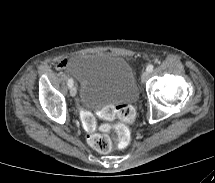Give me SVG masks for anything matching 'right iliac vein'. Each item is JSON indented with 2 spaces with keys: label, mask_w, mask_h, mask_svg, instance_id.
<instances>
[{
  "label": "right iliac vein",
  "mask_w": 215,
  "mask_h": 183,
  "mask_svg": "<svg viewBox=\"0 0 215 183\" xmlns=\"http://www.w3.org/2000/svg\"><path fill=\"white\" fill-rule=\"evenodd\" d=\"M76 93H77L76 87L75 86L70 87V95L72 97H75Z\"/></svg>",
  "instance_id": "63e3f726"
}]
</instances>
